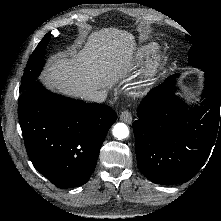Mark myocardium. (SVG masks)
<instances>
[{
    "label": "myocardium",
    "instance_id": "1",
    "mask_svg": "<svg viewBox=\"0 0 221 221\" xmlns=\"http://www.w3.org/2000/svg\"><path fill=\"white\" fill-rule=\"evenodd\" d=\"M158 66H159L158 59L148 65V67L144 71V80L142 81L140 88H145L150 84V82L153 80V77L158 69Z\"/></svg>",
    "mask_w": 221,
    "mask_h": 221
}]
</instances>
